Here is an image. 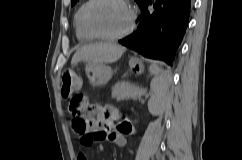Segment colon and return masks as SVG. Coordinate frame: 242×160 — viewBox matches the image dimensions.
<instances>
[{
    "label": "colon",
    "instance_id": "colon-1",
    "mask_svg": "<svg viewBox=\"0 0 242 160\" xmlns=\"http://www.w3.org/2000/svg\"><path fill=\"white\" fill-rule=\"evenodd\" d=\"M61 92L65 98H71L70 111L73 114L72 125L76 133L82 135V143L91 145L105 136L102 131L93 128V119L97 117L94 108L88 105L79 94L81 81L72 69H64L61 72ZM118 129L127 133L131 126L127 121L117 125Z\"/></svg>",
    "mask_w": 242,
    "mask_h": 160
}]
</instances>
